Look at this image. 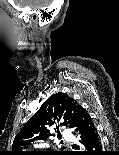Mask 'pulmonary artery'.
<instances>
[{"label":"pulmonary artery","mask_w":119,"mask_h":155,"mask_svg":"<svg viewBox=\"0 0 119 155\" xmlns=\"http://www.w3.org/2000/svg\"><path fill=\"white\" fill-rule=\"evenodd\" d=\"M62 135L64 138H71V134L68 130H63Z\"/></svg>","instance_id":"obj_1"}]
</instances>
